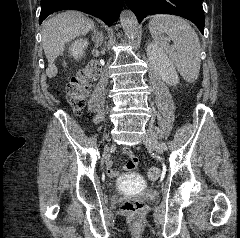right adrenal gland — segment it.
I'll list each match as a JSON object with an SVG mask.
<instances>
[{
  "mask_svg": "<svg viewBox=\"0 0 240 238\" xmlns=\"http://www.w3.org/2000/svg\"><path fill=\"white\" fill-rule=\"evenodd\" d=\"M93 31V36H92V41L95 43L96 47H99L103 44L104 42V35L102 31H98L96 29H92Z\"/></svg>",
  "mask_w": 240,
  "mask_h": 238,
  "instance_id": "2a0ac1e0",
  "label": "right adrenal gland"
}]
</instances>
